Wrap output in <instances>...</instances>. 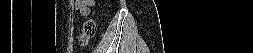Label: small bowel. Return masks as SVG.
<instances>
[{
  "instance_id": "c3829d8e",
  "label": "small bowel",
  "mask_w": 253,
  "mask_h": 53,
  "mask_svg": "<svg viewBox=\"0 0 253 53\" xmlns=\"http://www.w3.org/2000/svg\"><path fill=\"white\" fill-rule=\"evenodd\" d=\"M95 4L93 0H76L74 2V9L77 12L86 14L90 7Z\"/></svg>"
}]
</instances>
